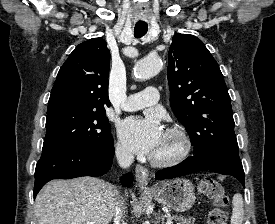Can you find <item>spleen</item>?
I'll return each instance as SVG.
<instances>
[{
  "label": "spleen",
  "instance_id": "obj_1",
  "mask_svg": "<svg viewBox=\"0 0 275 224\" xmlns=\"http://www.w3.org/2000/svg\"><path fill=\"white\" fill-rule=\"evenodd\" d=\"M233 210L231 224H242L244 218L243 198L240 193H236L232 200Z\"/></svg>",
  "mask_w": 275,
  "mask_h": 224
}]
</instances>
